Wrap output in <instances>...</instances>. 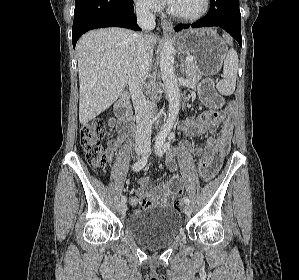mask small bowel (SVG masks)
Returning <instances> with one entry per match:
<instances>
[{
	"label": "small bowel",
	"mask_w": 299,
	"mask_h": 280,
	"mask_svg": "<svg viewBox=\"0 0 299 280\" xmlns=\"http://www.w3.org/2000/svg\"><path fill=\"white\" fill-rule=\"evenodd\" d=\"M181 132L188 137L210 134L205 144H192L191 150L194 154L206 160L209 173L207 177L213 176L221 165L223 158L230 149L231 136L233 132V121L227 120L217 132V124L211 121L198 120L190 118L182 122L179 126ZM122 139L110 140L107 144V154L113 155L114 150L122 143ZM172 149L170 153H174ZM167 167L172 173L170 179L165 183L151 186L149 178L141 177L139 179V188L137 196L131 197L129 203L132 207L141 206L150 208L153 206H171L177 196L183 191V184L180 177L176 174V164L173 160H168Z\"/></svg>",
	"instance_id": "1"
}]
</instances>
